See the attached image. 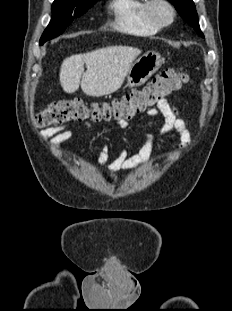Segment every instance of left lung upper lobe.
I'll return each instance as SVG.
<instances>
[{
  "mask_svg": "<svg viewBox=\"0 0 232 311\" xmlns=\"http://www.w3.org/2000/svg\"><path fill=\"white\" fill-rule=\"evenodd\" d=\"M181 17L190 24L200 36H204L200 30L197 12L192 0H169Z\"/></svg>",
  "mask_w": 232,
  "mask_h": 311,
  "instance_id": "left-lung-upper-lobe-1",
  "label": "left lung upper lobe"
}]
</instances>
